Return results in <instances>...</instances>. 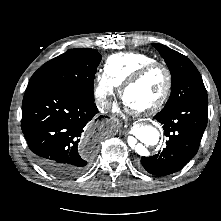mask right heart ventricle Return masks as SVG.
Returning <instances> with one entry per match:
<instances>
[{"instance_id": "right-heart-ventricle-1", "label": "right heart ventricle", "mask_w": 221, "mask_h": 221, "mask_svg": "<svg viewBox=\"0 0 221 221\" xmlns=\"http://www.w3.org/2000/svg\"><path fill=\"white\" fill-rule=\"evenodd\" d=\"M156 59L142 52H123L111 55L105 62V73L118 85H122L135 71Z\"/></svg>"}]
</instances>
